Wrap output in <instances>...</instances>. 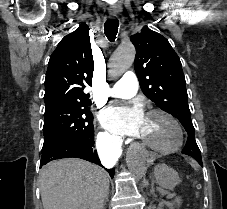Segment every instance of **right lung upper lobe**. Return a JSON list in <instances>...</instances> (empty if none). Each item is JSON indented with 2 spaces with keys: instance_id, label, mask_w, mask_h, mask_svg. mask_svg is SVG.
Returning <instances> with one entry per match:
<instances>
[{
  "instance_id": "obj_1",
  "label": "right lung upper lobe",
  "mask_w": 227,
  "mask_h": 209,
  "mask_svg": "<svg viewBox=\"0 0 227 209\" xmlns=\"http://www.w3.org/2000/svg\"><path fill=\"white\" fill-rule=\"evenodd\" d=\"M94 62L89 28L82 23L65 36L50 56L45 78V103L55 98L89 99L83 90L92 85Z\"/></svg>"
}]
</instances>
